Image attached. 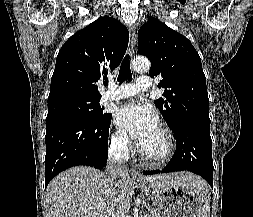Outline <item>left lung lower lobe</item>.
<instances>
[{"instance_id":"obj_1","label":"left lung lower lobe","mask_w":253,"mask_h":217,"mask_svg":"<svg viewBox=\"0 0 253 217\" xmlns=\"http://www.w3.org/2000/svg\"><path fill=\"white\" fill-rule=\"evenodd\" d=\"M173 133L177 144L171 161L162 170L143 171V174L188 170L203 177L213 188L210 123L184 120L175 126Z\"/></svg>"}]
</instances>
